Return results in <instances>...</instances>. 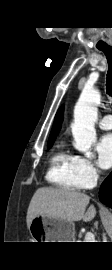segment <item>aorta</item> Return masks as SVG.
Listing matches in <instances>:
<instances>
[{
  "instance_id": "aorta-1",
  "label": "aorta",
  "mask_w": 112,
  "mask_h": 270,
  "mask_svg": "<svg viewBox=\"0 0 112 270\" xmlns=\"http://www.w3.org/2000/svg\"><path fill=\"white\" fill-rule=\"evenodd\" d=\"M99 102L100 92L98 89H85L74 108V122L71 126L75 141L74 147L87 157H91L90 148L96 140L94 125L98 116Z\"/></svg>"
}]
</instances>
